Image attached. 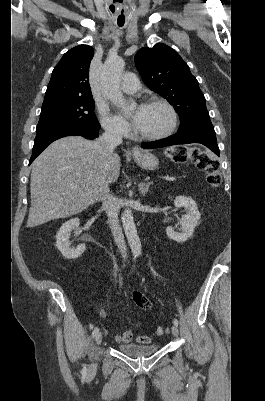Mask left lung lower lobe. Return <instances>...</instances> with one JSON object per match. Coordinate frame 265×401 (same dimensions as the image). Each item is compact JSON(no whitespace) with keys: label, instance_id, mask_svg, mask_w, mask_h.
<instances>
[{"label":"left lung lower lobe","instance_id":"0a47b994","mask_svg":"<svg viewBox=\"0 0 265 401\" xmlns=\"http://www.w3.org/2000/svg\"><path fill=\"white\" fill-rule=\"evenodd\" d=\"M189 143H200L207 146L215 154L219 155L220 153L216 134L210 120L200 121L183 129H179L175 135L168 138L153 142H144L142 143V148L154 149Z\"/></svg>","mask_w":265,"mask_h":401}]
</instances>
